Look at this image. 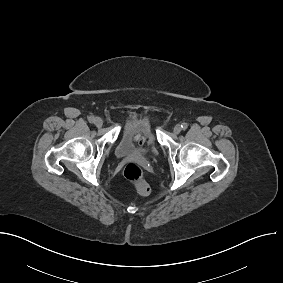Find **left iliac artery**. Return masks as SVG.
I'll return each instance as SVG.
<instances>
[{
    "label": "left iliac artery",
    "mask_w": 283,
    "mask_h": 283,
    "mask_svg": "<svg viewBox=\"0 0 283 283\" xmlns=\"http://www.w3.org/2000/svg\"><path fill=\"white\" fill-rule=\"evenodd\" d=\"M181 127H182L183 130H185V129H187L188 124H187V123H182V124H181Z\"/></svg>",
    "instance_id": "1"
}]
</instances>
